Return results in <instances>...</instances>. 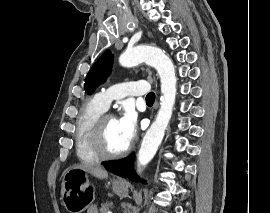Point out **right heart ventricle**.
<instances>
[{"label": "right heart ventricle", "instance_id": "right-heart-ventricle-1", "mask_svg": "<svg viewBox=\"0 0 270 213\" xmlns=\"http://www.w3.org/2000/svg\"><path fill=\"white\" fill-rule=\"evenodd\" d=\"M103 109L95 100L88 101L80 111L76 120L75 129V150L80 161L86 163H98L100 158L93 151L90 144V131Z\"/></svg>", "mask_w": 270, "mask_h": 213}]
</instances>
